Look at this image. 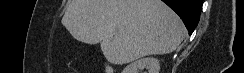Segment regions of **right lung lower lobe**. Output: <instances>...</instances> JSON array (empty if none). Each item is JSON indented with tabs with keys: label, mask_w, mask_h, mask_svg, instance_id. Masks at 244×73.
I'll return each instance as SVG.
<instances>
[{
	"label": "right lung lower lobe",
	"mask_w": 244,
	"mask_h": 73,
	"mask_svg": "<svg viewBox=\"0 0 244 73\" xmlns=\"http://www.w3.org/2000/svg\"><path fill=\"white\" fill-rule=\"evenodd\" d=\"M183 20L191 35L200 18L203 0H162Z\"/></svg>",
	"instance_id": "right-lung-lower-lobe-1"
}]
</instances>
